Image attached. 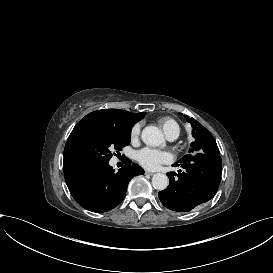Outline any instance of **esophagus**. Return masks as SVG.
<instances>
[{"label":"esophagus","instance_id":"1","mask_svg":"<svg viewBox=\"0 0 273 273\" xmlns=\"http://www.w3.org/2000/svg\"><path fill=\"white\" fill-rule=\"evenodd\" d=\"M154 173L151 172V171H145V175H149V176H152Z\"/></svg>","mask_w":273,"mask_h":273}]
</instances>
